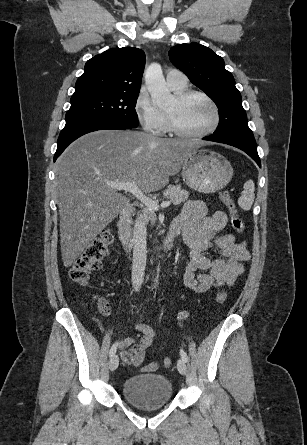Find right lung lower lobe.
<instances>
[{
  "label": "right lung lower lobe",
  "mask_w": 307,
  "mask_h": 445,
  "mask_svg": "<svg viewBox=\"0 0 307 445\" xmlns=\"http://www.w3.org/2000/svg\"><path fill=\"white\" fill-rule=\"evenodd\" d=\"M132 126L110 119H83L67 122L58 138V146L54 155V161L61 155L66 147L80 136L92 131L115 129L124 130Z\"/></svg>",
  "instance_id": "1"
}]
</instances>
